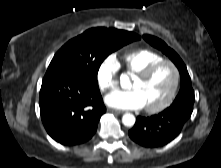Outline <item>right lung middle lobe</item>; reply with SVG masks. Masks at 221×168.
<instances>
[{
	"label": "right lung middle lobe",
	"instance_id": "obj_1",
	"mask_svg": "<svg viewBox=\"0 0 221 168\" xmlns=\"http://www.w3.org/2000/svg\"><path fill=\"white\" fill-rule=\"evenodd\" d=\"M140 39L133 32L92 28L68 41L53 57L46 73L83 76L94 84L104 59L122 46Z\"/></svg>",
	"mask_w": 221,
	"mask_h": 168
}]
</instances>
